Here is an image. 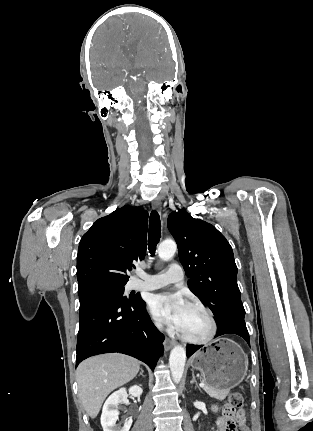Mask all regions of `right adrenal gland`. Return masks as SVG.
I'll return each mask as SVG.
<instances>
[{
    "instance_id": "right-adrenal-gland-1",
    "label": "right adrenal gland",
    "mask_w": 313,
    "mask_h": 431,
    "mask_svg": "<svg viewBox=\"0 0 313 431\" xmlns=\"http://www.w3.org/2000/svg\"><path fill=\"white\" fill-rule=\"evenodd\" d=\"M139 375L140 376H142V377H145L144 375H143V370L141 369V372L139 373Z\"/></svg>"
}]
</instances>
